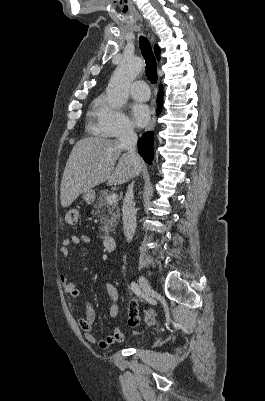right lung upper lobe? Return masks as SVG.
<instances>
[{
    "label": "right lung upper lobe",
    "mask_w": 265,
    "mask_h": 401,
    "mask_svg": "<svg viewBox=\"0 0 265 401\" xmlns=\"http://www.w3.org/2000/svg\"><path fill=\"white\" fill-rule=\"evenodd\" d=\"M155 54H156L157 59L159 60L160 59V50H159L158 46H155Z\"/></svg>",
    "instance_id": "1"
}]
</instances>
